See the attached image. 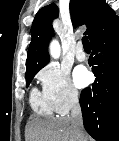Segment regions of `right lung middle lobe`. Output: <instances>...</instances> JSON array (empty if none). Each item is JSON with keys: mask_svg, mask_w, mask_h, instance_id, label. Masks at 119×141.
<instances>
[{"mask_svg": "<svg viewBox=\"0 0 119 141\" xmlns=\"http://www.w3.org/2000/svg\"><path fill=\"white\" fill-rule=\"evenodd\" d=\"M36 73L37 72L26 74V87H28V85L30 84L31 80L33 79Z\"/></svg>", "mask_w": 119, "mask_h": 141, "instance_id": "dd1d6c3e", "label": "right lung middle lobe"}]
</instances>
